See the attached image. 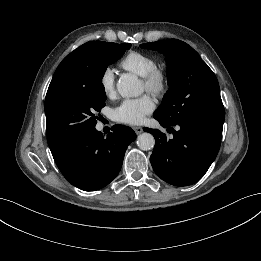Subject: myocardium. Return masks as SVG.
<instances>
[{
    "instance_id": "obj_1",
    "label": "myocardium",
    "mask_w": 261,
    "mask_h": 261,
    "mask_svg": "<svg viewBox=\"0 0 261 261\" xmlns=\"http://www.w3.org/2000/svg\"><path fill=\"white\" fill-rule=\"evenodd\" d=\"M168 82V74L166 70L158 65L154 66L143 77L145 90L156 96H160L166 92Z\"/></svg>"
}]
</instances>
